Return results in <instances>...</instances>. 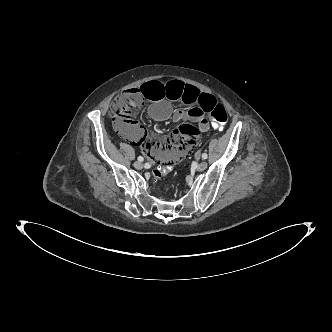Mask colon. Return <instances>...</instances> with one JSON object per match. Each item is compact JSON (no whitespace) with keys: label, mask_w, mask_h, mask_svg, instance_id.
Segmentation results:
<instances>
[{"label":"colon","mask_w":332,"mask_h":332,"mask_svg":"<svg viewBox=\"0 0 332 332\" xmlns=\"http://www.w3.org/2000/svg\"><path fill=\"white\" fill-rule=\"evenodd\" d=\"M143 104V99L138 89L127 90L118 95L111 106V115L116 128L122 131H131L135 125L133 117ZM208 112L210 120L216 128H221L227 123L228 115L223 105L215 103ZM176 163H159L152 170L154 178L161 179L167 176L171 173Z\"/></svg>","instance_id":"1"}]
</instances>
